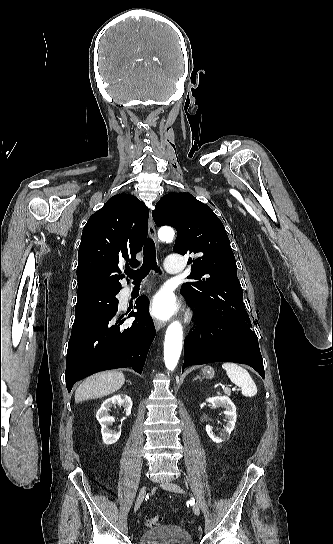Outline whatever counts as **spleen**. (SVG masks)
<instances>
[{"label": "spleen", "mask_w": 333, "mask_h": 544, "mask_svg": "<svg viewBox=\"0 0 333 544\" xmlns=\"http://www.w3.org/2000/svg\"><path fill=\"white\" fill-rule=\"evenodd\" d=\"M222 368L226 371L231 382L241 387L244 396L253 397L256 395L257 387L247 370L232 362L222 364Z\"/></svg>", "instance_id": "3e777b00"}]
</instances>
